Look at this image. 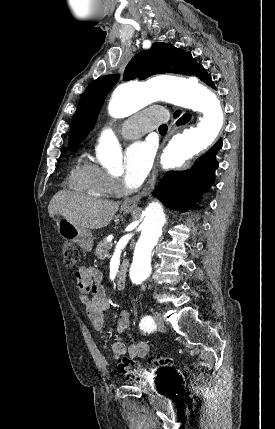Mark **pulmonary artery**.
Returning <instances> with one entry per match:
<instances>
[{
	"label": "pulmonary artery",
	"mask_w": 275,
	"mask_h": 429,
	"mask_svg": "<svg viewBox=\"0 0 275 429\" xmlns=\"http://www.w3.org/2000/svg\"><path fill=\"white\" fill-rule=\"evenodd\" d=\"M167 120L168 116L164 109L150 107L128 119L121 128L120 134L123 138L135 139L164 124Z\"/></svg>",
	"instance_id": "pulmonary-artery-1"
}]
</instances>
